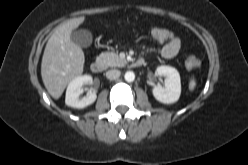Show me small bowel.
<instances>
[{
    "mask_svg": "<svg viewBox=\"0 0 248 165\" xmlns=\"http://www.w3.org/2000/svg\"><path fill=\"white\" fill-rule=\"evenodd\" d=\"M181 48V41L178 37L168 39L161 50V56L165 59H171L177 56Z\"/></svg>",
    "mask_w": 248,
    "mask_h": 165,
    "instance_id": "small-bowel-1",
    "label": "small bowel"
}]
</instances>
